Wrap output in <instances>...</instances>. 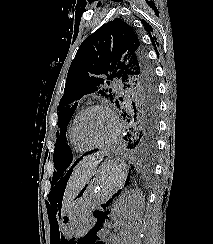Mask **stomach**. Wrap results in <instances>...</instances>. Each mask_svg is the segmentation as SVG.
Wrapping results in <instances>:
<instances>
[{"mask_svg": "<svg viewBox=\"0 0 213 244\" xmlns=\"http://www.w3.org/2000/svg\"><path fill=\"white\" fill-rule=\"evenodd\" d=\"M93 176L78 192L61 216L60 230L74 235L88 229L91 208L98 201L109 200L124 184L127 177L125 162L112 154H123V149H104Z\"/></svg>", "mask_w": 213, "mask_h": 244, "instance_id": "obj_1", "label": "stomach"}]
</instances>
